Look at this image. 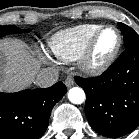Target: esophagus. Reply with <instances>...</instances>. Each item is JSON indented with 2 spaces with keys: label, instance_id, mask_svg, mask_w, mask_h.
Wrapping results in <instances>:
<instances>
[{
  "label": "esophagus",
  "instance_id": "34e87169",
  "mask_svg": "<svg viewBox=\"0 0 139 139\" xmlns=\"http://www.w3.org/2000/svg\"><path fill=\"white\" fill-rule=\"evenodd\" d=\"M65 85L70 88L74 85V79L72 76H68L66 79H65Z\"/></svg>",
  "mask_w": 139,
  "mask_h": 139
}]
</instances>
